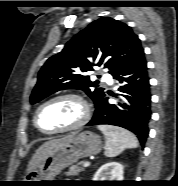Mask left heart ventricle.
I'll return each mask as SVG.
<instances>
[{"label": "left heart ventricle", "instance_id": "obj_1", "mask_svg": "<svg viewBox=\"0 0 178 186\" xmlns=\"http://www.w3.org/2000/svg\"><path fill=\"white\" fill-rule=\"evenodd\" d=\"M82 112V107L76 100L60 99L42 108L38 122L45 131L59 130L76 123Z\"/></svg>", "mask_w": 178, "mask_h": 186}]
</instances>
